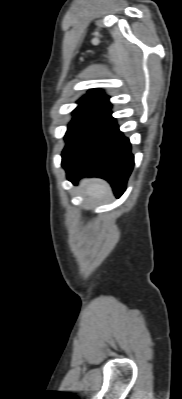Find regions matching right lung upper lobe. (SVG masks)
Listing matches in <instances>:
<instances>
[{"mask_svg": "<svg viewBox=\"0 0 182 399\" xmlns=\"http://www.w3.org/2000/svg\"><path fill=\"white\" fill-rule=\"evenodd\" d=\"M83 98H89L92 100L100 101L105 103L106 105L109 104V97L106 96L102 90L100 89H93L88 92Z\"/></svg>", "mask_w": 182, "mask_h": 399, "instance_id": "1", "label": "right lung upper lobe"}]
</instances>
